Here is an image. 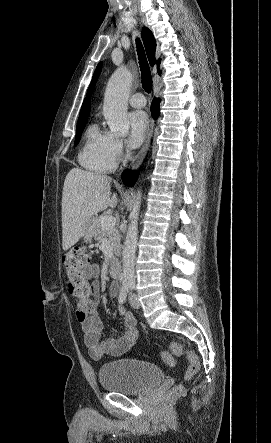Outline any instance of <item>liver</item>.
Returning <instances> with one entry per match:
<instances>
[{"label":"liver","mask_w":271,"mask_h":443,"mask_svg":"<svg viewBox=\"0 0 271 443\" xmlns=\"http://www.w3.org/2000/svg\"><path fill=\"white\" fill-rule=\"evenodd\" d=\"M112 178L73 168L67 174L62 192V247L75 245L85 233L90 218L117 206V196L110 192Z\"/></svg>","instance_id":"6515ba94"}]
</instances>
